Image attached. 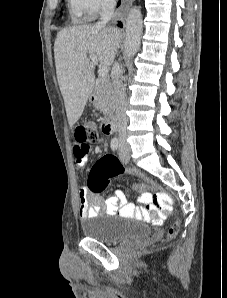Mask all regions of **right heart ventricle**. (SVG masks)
<instances>
[{"label": "right heart ventricle", "instance_id": "e07e8e85", "mask_svg": "<svg viewBox=\"0 0 227 298\" xmlns=\"http://www.w3.org/2000/svg\"><path fill=\"white\" fill-rule=\"evenodd\" d=\"M71 6V5H70ZM72 8V7H71ZM72 11H73V13L75 14V15H77V16H79V15H81V13H79L78 11H76V10H74L73 8H72Z\"/></svg>", "mask_w": 227, "mask_h": 298}]
</instances>
